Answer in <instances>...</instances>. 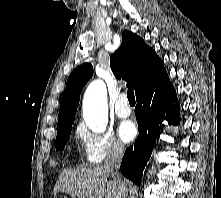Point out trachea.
Segmentation results:
<instances>
[{
	"label": "trachea",
	"instance_id": "obj_1",
	"mask_svg": "<svg viewBox=\"0 0 221 198\" xmlns=\"http://www.w3.org/2000/svg\"><path fill=\"white\" fill-rule=\"evenodd\" d=\"M127 97H128V100H129L130 104H135V96H134L133 90H128L127 91Z\"/></svg>",
	"mask_w": 221,
	"mask_h": 198
}]
</instances>
